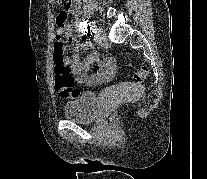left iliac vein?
Wrapping results in <instances>:
<instances>
[{"label":"left iliac vein","mask_w":207,"mask_h":179,"mask_svg":"<svg viewBox=\"0 0 207 179\" xmlns=\"http://www.w3.org/2000/svg\"><path fill=\"white\" fill-rule=\"evenodd\" d=\"M95 41L99 45L105 44L107 42V35L101 26H98V28H96Z\"/></svg>","instance_id":"4c4485c4"}]
</instances>
